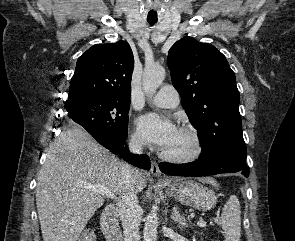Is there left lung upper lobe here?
<instances>
[{"instance_id":"1","label":"left lung upper lobe","mask_w":295,"mask_h":241,"mask_svg":"<svg viewBox=\"0 0 295 241\" xmlns=\"http://www.w3.org/2000/svg\"><path fill=\"white\" fill-rule=\"evenodd\" d=\"M172 83L197 129L200 158L227 156L246 161L234 72L213 45L191 37L177 41L167 58Z\"/></svg>"}]
</instances>
